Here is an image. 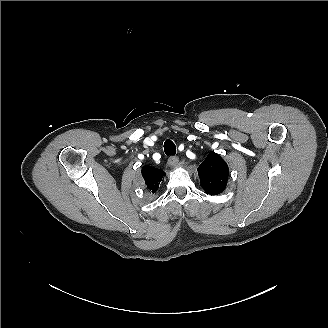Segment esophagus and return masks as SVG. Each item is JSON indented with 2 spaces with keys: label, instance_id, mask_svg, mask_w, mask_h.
<instances>
[{
  "label": "esophagus",
  "instance_id": "34e87169",
  "mask_svg": "<svg viewBox=\"0 0 328 328\" xmlns=\"http://www.w3.org/2000/svg\"><path fill=\"white\" fill-rule=\"evenodd\" d=\"M178 163H179V159L177 156H170L168 158L167 164L169 167H176L178 165Z\"/></svg>",
  "mask_w": 328,
  "mask_h": 328
}]
</instances>
